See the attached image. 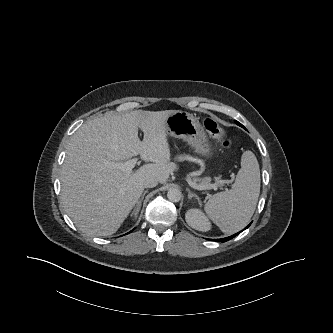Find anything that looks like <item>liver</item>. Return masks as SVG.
I'll return each instance as SVG.
<instances>
[{"instance_id":"obj_1","label":"liver","mask_w":333,"mask_h":333,"mask_svg":"<svg viewBox=\"0 0 333 333\" xmlns=\"http://www.w3.org/2000/svg\"><path fill=\"white\" fill-rule=\"evenodd\" d=\"M175 112L106 113L74 133L62 166L61 197L79 230L95 236L115 233L138 202L146 179L167 182L172 164L166 120ZM137 155L152 163L130 173L105 166Z\"/></svg>"}]
</instances>
